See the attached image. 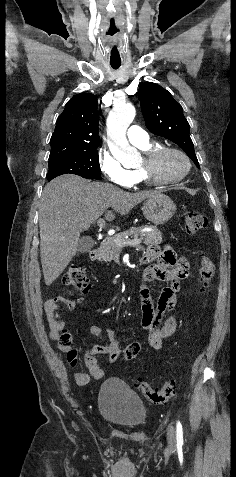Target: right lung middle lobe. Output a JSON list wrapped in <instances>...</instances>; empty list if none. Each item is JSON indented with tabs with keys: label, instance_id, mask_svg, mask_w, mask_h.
I'll list each match as a JSON object with an SVG mask.
<instances>
[{
	"label": "right lung middle lobe",
	"instance_id": "obj_1",
	"mask_svg": "<svg viewBox=\"0 0 236 477\" xmlns=\"http://www.w3.org/2000/svg\"><path fill=\"white\" fill-rule=\"evenodd\" d=\"M97 147L83 149L69 156L49 161L47 179L50 181L62 174H74L86 179H101Z\"/></svg>",
	"mask_w": 236,
	"mask_h": 477
}]
</instances>
